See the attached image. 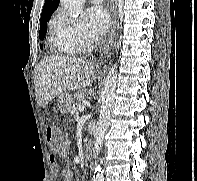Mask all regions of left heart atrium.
<instances>
[{"instance_id": "obj_1", "label": "left heart atrium", "mask_w": 197, "mask_h": 181, "mask_svg": "<svg viewBox=\"0 0 197 181\" xmlns=\"http://www.w3.org/2000/svg\"><path fill=\"white\" fill-rule=\"evenodd\" d=\"M86 20L94 33L103 34L110 25V14L103 6H93L86 12Z\"/></svg>"}]
</instances>
